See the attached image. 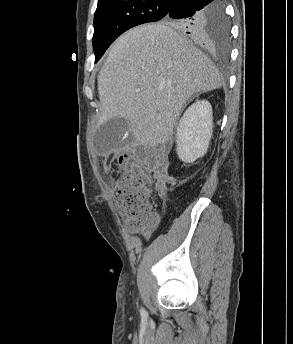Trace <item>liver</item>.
<instances>
[{"label":"liver","mask_w":293,"mask_h":344,"mask_svg":"<svg viewBox=\"0 0 293 344\" xmlns=\"http://www.w3.org/2000/svg\"><path fill=\"white\" fill-rule=\"evenodd\" d=\"M222 83L213 62L175 28L141 25L115 41L99 73L100 122L125 118L135 142L163 145L189 98Z\"/></svg>","instance_id":"6515ba94"}]
</instances>
